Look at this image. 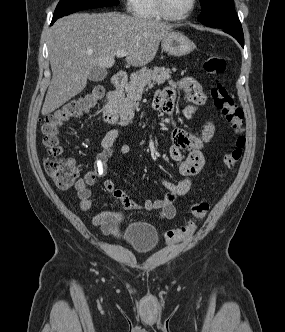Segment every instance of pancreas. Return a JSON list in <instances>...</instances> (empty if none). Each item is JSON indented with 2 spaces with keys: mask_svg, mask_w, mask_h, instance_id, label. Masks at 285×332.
Returning a JSON list of instances; mask_svg holds the SVG:
<instances>
[{
  "mask_svg": "<svg viewBox=\"0 0 285 332\" xmlns=\"http://www.w3.org/2000/svg\"><path fill=\"white\" fill-rule=\"evenodd\" d=\"M171 71L164 67H155L153 69L141 68L138 72L133 73L131 81L125 87L124 92L117 93V104L119 116L122 120L130 121L134 117V109L137 101L146 87L152 88L155 83L163 84L171 78Z\"/></svg>",
  "mask_w": 285,
  "mask_h": 332,
  "instance_id": "pancreas-1",
  "label": "pancreas"
}]
</instances>
